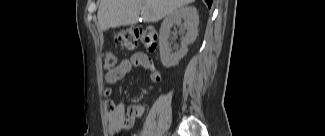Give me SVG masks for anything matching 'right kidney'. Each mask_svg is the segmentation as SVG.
I'll use <instances>...</instances> for the list:
<instances>
[{
	"instance_id": "ca27d5eb",
	"label": "right kidney",
	"mask_w": 325,
	"mask_h": 136,
	"mask_svg": "<svg viewBox=\"0 0 325 136\" xmlns=\"http://www.w3.org/2000/svg\"><path fill=\"white\" fill-rule=\"evenodd\" d=\"M175 25L181 26L187 32L182 39L180 49L173 52L169 37L171 28ZM198 25L199 17L194 6L180 7L165 17L159 33L160 57L164 67L170 68L177 65L179 60L187 54L188 45L193 43L198 36Z\"/></svg>"
}]
</instances>
